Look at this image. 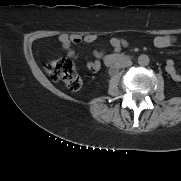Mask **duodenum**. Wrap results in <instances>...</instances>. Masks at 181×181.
<instances>
[{"mask_svg":"<svg viewBox=\"0 0 181 181\" xmlns=\"http://www.w3.org/2000/svg\"><path fill=\"white\" fill-rule=\"evenodd\" d=\"M126 60H127V57L122 56V55H114L107 59L108 64H113V65L121 64V63L125 62Z\"/></svg>","mask_w":181,"mask_h":181,"instance_id":"1","label":"duodenum"}]
</instances>
